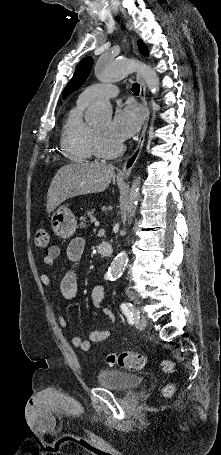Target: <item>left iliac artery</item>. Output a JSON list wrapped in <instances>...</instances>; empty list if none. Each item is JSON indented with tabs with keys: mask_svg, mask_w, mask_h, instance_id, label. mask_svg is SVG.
I'll return each instance as SVG.
<instances>
[{
	"mask_svg": "<svg viewBox=\"0 0 221 455\" xmlns=\"http://www.w3.org/2000/svg\"><path fill=\"white\" fill-rule=\"evenodd\" d=\"M120 308L130 324L137 322L140 318L139 311L131 303H122Z\"/></svg>",
	"mask_w": 221,
	"mask_h": 455,
	"instance_id": "44dca946",
	"label": "left iliac artery"
}]
</instances>
